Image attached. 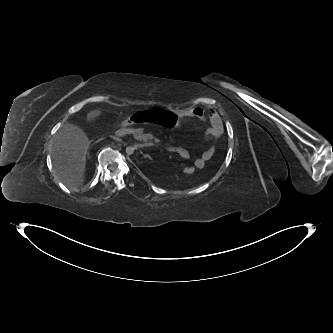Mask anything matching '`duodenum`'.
<instances>
[{"mask_svg": "<svg viewBox=\"0 0 333 333\" xmlns=\"http://www.w3.org/2000/svg\"><path fill=\"white\" fill-rule=\"evenodd\" d=\"M128 133H132V128L118 129V134H128Z\"/></svg>", "mask_w": 333, "mask_h": 333, "instance_id": "obj_1", "label": "duodenum"}]
</instances>
